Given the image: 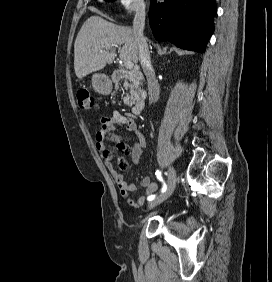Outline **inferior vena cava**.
Instances as JSON below:
<instances>
[{
  "label": "inferior vena cava",
  "mask_w": 272,
  "mask_h": 282,
  "mask_svg": "<svg viewBox=\"0 0 272 282\" xmlns=\"http://www.w3.org/2000/svg\"><path fill=\"white\" fill-rule=\"evenodd\" d=\"M145 4L140 2L135 8V17L133 20V33L139 46V59L143 72L147 78L149 102L155 103L159 99L160 87L157 79L155 78L154 70L151 65L150 52L144 37L143 30L145 25Z\"/></svg>",
  "instance_id": "inferior-vena-cava-1"
}]
</instances>
